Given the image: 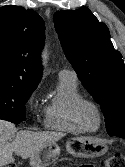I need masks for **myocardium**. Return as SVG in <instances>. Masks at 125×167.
I'll list each match as a JSON object with an SVG mask.
<instances>
[{
  "mask_svg": "<svg viewBox=\"0 0 125 167\" xmlns=\"http://www.w3.org/2000/svg\"><path fill=\"white\" fill-rule=\"evenodd\" d=\"M86 106L92 107L95 110V112L97 114V117H98V124L93 129L86 127L83 123V120H82V112H83V109ZM73 117H74L75 122L81 128V130L85 131V132H95L102 125L101 110H100L99 106L94 101H92L90 99L82 98L74 105V107H73Z\"/></svg>",
  "mask_w": 125,
  "mask_h": 167,
  "instance_id": "f54148a6",
  "label": "myocardium"
}]
</instances>
